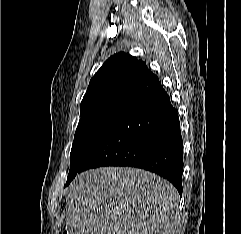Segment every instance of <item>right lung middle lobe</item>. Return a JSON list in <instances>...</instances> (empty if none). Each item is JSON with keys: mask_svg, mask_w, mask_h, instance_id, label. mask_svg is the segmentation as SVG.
<instances>
[{"mask_svg": "<svg viewBox=\"0 0 241 234\" xmlns=\"http://www.w3.org/2000/svg\"><path fill=\"white\" fill-rule=\"evenodd\" d=\"M137 104L111 102L80 110L81 119L75 132L70 153V170L66 185L82 169L90 152L121 122Z\"/></svg>", "mask_w": 241, "mask_h": 234, "instance_id": "obj_1", "label": "right lung middle lobe"}]
</instances>
